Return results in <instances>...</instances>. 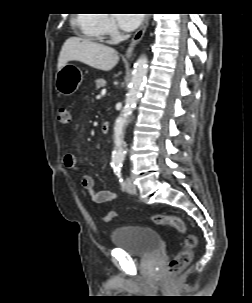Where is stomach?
<instances>
[{
    "label": "stomach",
    "mask_w": 252,
    "mask_h": 303,
    "mask_svg": "<svg viewBox=\"0 0 252 303\" xmlns=\"http://www.w3.org/2000/svg\"><path fill=\"white\" fill-rule=\"evenodd\" d=\"M83 81L82 71L75 65L66 64L56 73L55 88L63 95L74 93Z\"/></svg>",
    "instance_id": "stomach-1"
}]
</instances>
